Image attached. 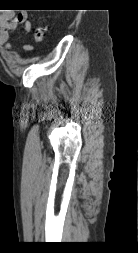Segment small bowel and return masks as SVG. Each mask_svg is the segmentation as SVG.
<instances>
[{
  "instance_id": "small-bowel-1",
  "label": "small bowel",
  "mask_w": 138,
  "mask_h": 253,
  "mask_svg": "<svg viewBox=\"0 0 138 253\" xmlns=\"http://www.w3.org/2000/svg\"><path fill=\"white\" fill-rule=\"evenodd\" d=\"M19 26H23L26 32H30L32 25L26 13L20 12L14 14L13 11H3L0 13V44L9 47L10 53L14 55L18 53L10 45V35ZM21 48L26 51L32 50V46L28 44L21 46Z\"/></svg>"
}]
</instances>
